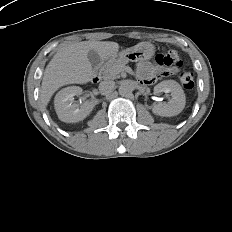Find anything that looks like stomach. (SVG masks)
<instances>
[{
    "instance_id": "stomach-1",
    "label": "stomach",
    "mask_w": 232,
    "mask_h": 232,
    "mask_svg": "<svg viewBox=\"0 0 232 232\" xmlns=\"http://www.w3.org/2000/svg\"><path fill=\"white\" fill-rule=\"evenodd\" d=\"M154 52L155 47L149 42H144L143 44H138L135 47L123 50L119 53V57L127 61L148 60L153 57ZM115 57H112V59Z\"/></svg>"
}]
</instances>
